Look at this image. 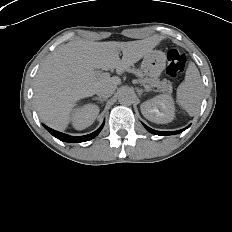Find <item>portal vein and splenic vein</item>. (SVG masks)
<instances>
[{"label": "portal vein and splenic vein", "instance_id": "1", "mask_svg": "<svg viewBox=\"0 0 232 232\" xmlns=\"http://www.w3.org/2000/svg\"><path fill=\"white\" fill-rule=\"evenodd\" d=\"M100 76H101L102 78H107V77H109L110 75H109V73H102Z\"/></svg>", "mask_w": 232, "mask_h": 232}]
</instances>
